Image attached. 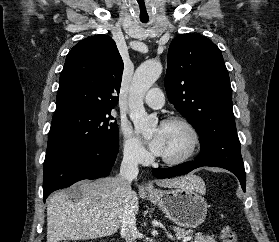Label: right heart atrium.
Instances as JSON below:
<instances>
[{
	"mask_svg": "<svg viewBox=\"0 0 279 242\" xmlns=\"http://www.w3.org/2000/svg\"><path fill=\"white\" fill-rule=\"evenodd\" d=\"M120 133L122 137V153L124 160L135 165L147 162L149 154L135 138L131 130L126 126H122Z\"/></svg>",
	"mask_w": 279,
	"mask_h": 242,
	"instance_id": "d8ad5b80",
	"label": "right heart atrium"
}]
</instances>
